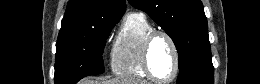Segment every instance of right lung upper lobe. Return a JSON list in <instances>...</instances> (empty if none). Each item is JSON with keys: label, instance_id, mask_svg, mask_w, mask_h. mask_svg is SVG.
Wrapping results in <instances>:
<instances>
[{"label": "right lung upper lobe", "instance_id": "1", "mask_svg": "<svg viewBox=\"0 0 260 84\" xmlns=\"http://www.w3.org/2000/svg\"><path fill=\"white\" fill-rule=\"evenodd\" d=\"M125 9V0H70L58 39L85 35L86 30L98 22L119 21Z\"/></svg>", "mask_w": 260, "mask_h": 84}]
</instances>
